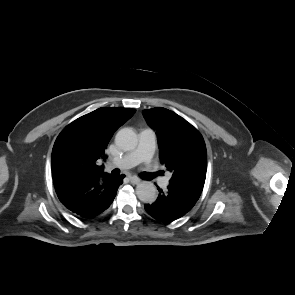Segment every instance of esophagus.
Listing matches in <instances>:
<instances>
[{"label":"esophagus","instance_id":"1","mask_svg":"<svg viewBox=\"0 0 295 295\" xmlns=\"http://www.w3.org/2000/svg\"><path fill=\"white\" fill-rule=\"evenodd\" d=\"M129 180L133 184H139L141 182V179L136 176H129Z\"/></svg>","mask_w":295,"mask_h":295}]
</instances>
